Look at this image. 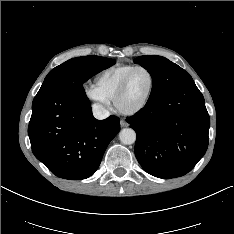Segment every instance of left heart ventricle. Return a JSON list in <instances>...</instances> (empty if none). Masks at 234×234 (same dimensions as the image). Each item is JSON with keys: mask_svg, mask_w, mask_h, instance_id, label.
Returning <instances> with one entry per match:
<instances>
[{"mask_svg": "<svg viewBox=\"0 0 234 234\" xmlns=\"http://www.w3.org/2000/svg\"><path fill=\"white\" fill-rule=\"evenodd\" d=\"M150 87V76L145 70H137L130 78L120 105L124 109L138 106L146 97Z\"/></svg>", "mask_w": 234, "mask_h": 234, "instance_id": "left-heart-ventricle-1", "label": "left heart ventricle"}]
</instances>
